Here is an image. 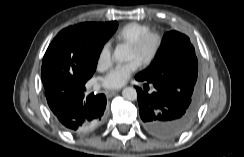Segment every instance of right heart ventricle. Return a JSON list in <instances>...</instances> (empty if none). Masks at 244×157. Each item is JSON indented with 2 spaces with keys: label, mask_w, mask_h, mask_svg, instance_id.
Segmentation results:
<instances>
[{
  "label": "right heart ventricle",
  "mask_w": 244,
  "mask_h": 157,
  "mask_svg": "<svg viewBox=\"0 0 244 157\" xmlns=\"http://www.w3.org/2000/svg\"><path fill=\"white\" fill-rule=\"evenodd\" d=\"M151 31V27L140 22H129L123 25L116 33L119 42L130 45L140 36Z\"/></svg>",
  "instance_id": "right-heart-ventricle-1"
}]
</instances>
